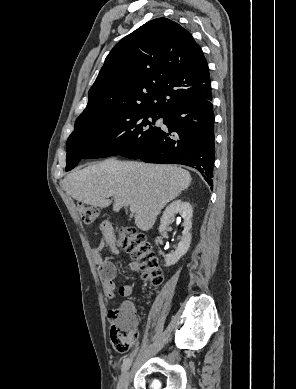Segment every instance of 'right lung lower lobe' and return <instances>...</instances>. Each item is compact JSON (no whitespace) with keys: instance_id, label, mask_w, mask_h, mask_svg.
I'll return each instance as SVG.
<instances>
[{"instance_id":"right-lung-lower-lobe-1","label":"right lung lower lobe","mask_w":296,"mask_h":389,"mask_svg":"<svg viewBox=\"0 0 296 389\" xmlns=\"http://www.w3.org/2000/svg\"><path fill=\"white\" fill-rule=\"evenodd\" d=\"M212 95L187 102L163 117L161 128L136 158L147 163L182 164L200 171L213 186L215 131Z\"/></svg>"}]
</instances>
